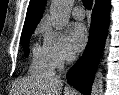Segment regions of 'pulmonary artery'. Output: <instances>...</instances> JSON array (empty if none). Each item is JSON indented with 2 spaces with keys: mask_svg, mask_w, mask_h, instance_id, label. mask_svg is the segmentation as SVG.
<instances>
[{
  "mask_svg": "<svg viewBox=\"0 0 119 95\" xmlns=\"http://www.w3.org/2000/svg\"><path fill=\"white\" fill-rule=\"evenodd\" d=\"M72 15L78 20H82L85 17V12L82 7L76 6L72 10Z\"/></svg>",
  "mask_w": 119,
  "mask_h": 95,
  "instance_id": "1",
  "label": "pulmonary artery"
}]
</instances>
